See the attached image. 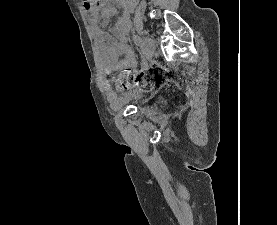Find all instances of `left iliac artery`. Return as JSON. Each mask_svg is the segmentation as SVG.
<instances>
[{"instance_id": "44dca946", "label": "left iliac artery", "mask_w": 277, "mask_h": 225, "mask_svg": "<svg viewBox=\"0 0 277 225\" xmlns=\"http://www.w3.org/2000/svg\"><path fill=\"white\" fill-rule=\"evenodd\" d=\"M132 40L134 42V44L137 46V47H140L142 45V41H141V38L136 35V34H133L132 35Z\"/></svg>"}]
</instances>
